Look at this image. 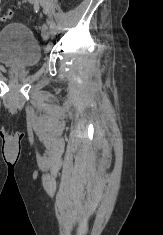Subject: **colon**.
<instances>
[{
	"mask_svg": "<svg viewBox=\"0 0 163 235\" xmlns=\"http://www.w3.org/2000/svg\"><path fill=\"white\" fill-rule=\"evenodd\" d=\"M13 17V11L8 10L7 12L4 13V15L1 17V20L7 21L10 20Z\"/></svg>",
	"mask_w": 163,
	"mask_h": 235,
	"instance_id": "1",
	"label": "colon"
}]
</instances>
